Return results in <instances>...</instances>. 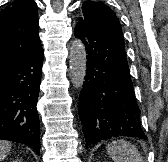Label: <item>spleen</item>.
<instances>
[{
    "instance_id": "3e777b00",
    "label": "spleen",
    "mask_w": 168,
    "mask_h": 162,
    "mask_svg": "<svg viewBox=\"0 0 168 162\" xmlns=\"http://www.w3.org/2000/svg\"><path fill=\"white\" fill-rule=\"evenodd\" d=\"M106 150L114 162H143L138 149L124 140L112 141L107 145Z\"/></svg>"
}]
</instances>
